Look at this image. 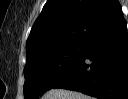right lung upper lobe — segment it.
Segmentation results:
<instances>
[{"label":"right lung upper lobe","instance_id":"obj_1","mask_svg":"<svg viewBox=\"0 0 128 99\" xmlns=\"http://www.w3.org/2000/svg\"><path fill=\"white\" fill-rule=\"evenodd\" d=\"M120 10L118 0H48L27 39V59L62 45L85 42Z\"/></svg>","mask_w":128,"mask_h":99}]
</instances>
